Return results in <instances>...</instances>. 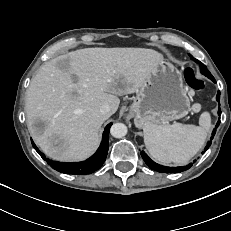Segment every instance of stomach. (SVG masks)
I'll return each mask as SVG.
<instances>
[{
  "mask_svg": "<svg viewBox=\"0 0 231 231\" xmlns=\"http://www.w3.org/2000/svg\"><path fill=\"white\" fill-rule=\"evenodd\" d=\"M189 110L190 101L182 75L165 59L147 78L130 106L138 128L167 125L187 115Z\"/></svg>",
  "mask_w": 231,
  "mask_h": 231,
  "instance_id": "stomach-1",
  "label": "stomach"
}]
</instances>
